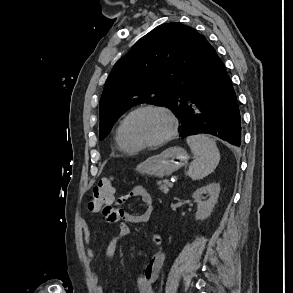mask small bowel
Listing matches in <instances>:
<instances>
[{"label": "small bowel", "mask_w": 293, "mask_h": 293, "mask_svg": "<svg viewBox=\"0 0 293 293\" xmlns=\"http://www.w3.org/2000/svg\"><path fill=\"white\" fill-rule=\"evenodd\" d=\"M136 197L140 198L146 205L144 212L141 214H131L114 205L115 199L113 198L112 204L103 210V214L106 220L110 223H119V231L114 236L105 248V255L109 258L116 254L117 245L121 239L126 237L130 233L129 224L132 223H146L149 222L154 211V204L149 191L142 186L134 187L126 198ZM82 232L85 243V260L88 265H91L94 252L90 247L91 243V232L86 222L82 223ZM151 238L153 242L158 246V250L150 260V262L143 269L142 274L137 280L139 293H155L154 284L158 280L164 261L165 254L162 250V239L161 236L155 232H151ZM92 282L99 293H104V288L99 284V278L97 275H92Z\"/></svg>", "instance_id": "c3829d8e"}]
</instances>
